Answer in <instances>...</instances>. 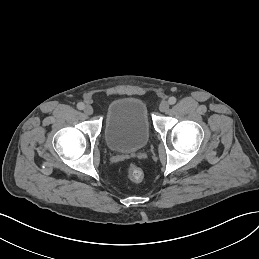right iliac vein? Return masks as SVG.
<instances>
[{
	"mask_svg": "<svg viewBox=\"0 0 259 259\" xmlns=\"http://www.w3.org/2000/svg\"><path fill=\"white\" fill-rule=\"evenodd\" d=\"M84 113L86 115H92L93 114V108L90 105L85 106Z\"/></svg>",
	"mask_w": 259,
	"mask_h": 259,
	"instance_id": "obj_1",
	"label": "right iliac vein"
}]
</instances>
